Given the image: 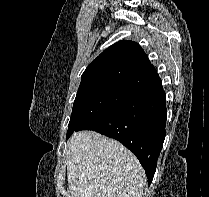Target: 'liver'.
<instances>
[{"mask_svg":"<svg viewBox=\"0 0 209 197\" xmlns=\"http://www.w3.org/2000/svg\"><path fill=\"white\" fill-rule=\"evenodd\" d=\"M70 197H142L145 172L117 140L94 131L74 133L67 143Z\"/></svg>","mask_w":209,"mask_h":197,"instance_id":"obj_1","label":"liver"}]
</instances>
